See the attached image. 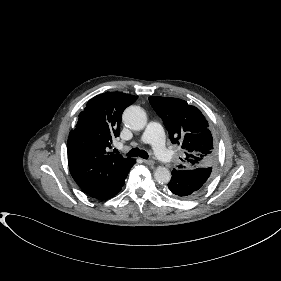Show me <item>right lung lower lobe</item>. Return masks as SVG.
<instances>
[{"instance_id":"98d812e1","label":"right lung lower lobe","mask_w":281,"mask_h":281,"mask_svg":"<svg viewBox=\"0 0 281 281\" xmlns=\"http://www.w3.org/2000/svg\"><path fill=\"white\" fill-rule=\"evenodd\" d=\"M134 164H135V160L133 159V161L129 165L127 171L122 175V177L107 191H105L104 193H102L94 198L99 199V200H107V199L112 198L114 195H116L122 189V187L124 185V181L127 177V174Z\"/></svg>"}]
</instances>
